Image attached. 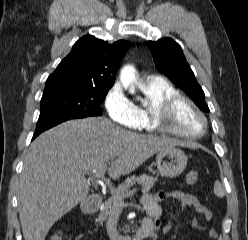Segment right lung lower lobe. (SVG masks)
Here are the masks:
<instances>
[{
	"mask_svg": "<svg viewBox=\"0 0 248 240\" xmlns=\"http://www.w3.org/2000/svg\"><path fill=\"white\" fill-rule=\"evenodd\" d=\"M66 120H69V119H44V120H38L37 127H36V130H35V133H34L32 139L37 137L43 131H45V130L53 127V126H56L57 124H60V123H62L64 121H66Z\"/></svg>",
	"mask_w": 248,
	"mask_h": 240,
	"instance_id": "obj_1",
	"label": "right lung lower lobe"
}]
</instances>
